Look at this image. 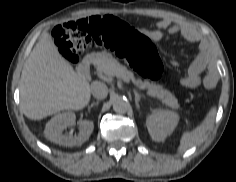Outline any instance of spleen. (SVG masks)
I'll return each instance as SVG.
<instances>
[{
  "label": "spleen",
  "instance_id": "3e777b00",
  "mask_svg": "<svg viewBox=\"0 0 236 182\" xmlns=\"http://www.w3.org/2000/svg\"><path fill=\"white\" fill-rule=\"evenodd\" d=\"M216 114V108L210 109L204 120L192 131H185L180 139V145L178 147L179 152L186 151L187 149L201 143L206 132L211 127Z\"/></svg>",
  "mask_w": 236,
  "mask_h": 182
}]
</instances>
